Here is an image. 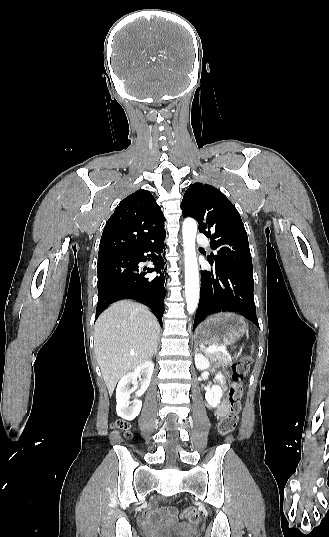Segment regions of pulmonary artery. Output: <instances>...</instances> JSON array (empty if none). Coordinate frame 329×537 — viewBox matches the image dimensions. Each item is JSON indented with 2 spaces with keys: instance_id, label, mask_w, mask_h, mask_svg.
I'll return each instance as SVG.
<instances>
[{
  "instance_id": "1",
  "label": "pulmonary artery",
  "mask_w": 329,
  "mask_h": 537,
  "mask_svg": "<svg viewBox=\"0 0 329 537\" xmlns=\"http://www.w3.org/2000/svg\"><path fill=\"white\" fill-rule=\"evenodd\" d=\"M196 241L199 245H202V246H205L208 244V239L207 237H205L203 234H198L197 235V238H196Z\"/></svg>"
}]
</instances>
